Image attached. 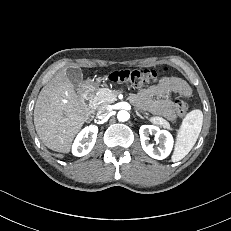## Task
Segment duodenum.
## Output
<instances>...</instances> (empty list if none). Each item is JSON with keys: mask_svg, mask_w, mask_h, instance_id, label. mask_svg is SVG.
I'll return each instance as SVG.
<instances>
[{"mask_svg": "<svg viewBox=\"0 0 231 231\" xmlns=\"http://www.w3.org/2000/svg\"><path fill=\"white\" fill-rule=\"evenodd\" d=\"M80 97L82 102L85 104V109L87 113H91L94 110V95L91 87L86 86L81 89Z\"/></svg>", "mask_w": 231, "mask_h": 231, "instance_id": "1", "label": "duodenum"}]
</instances>
